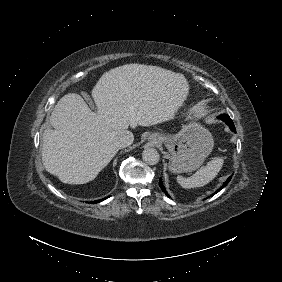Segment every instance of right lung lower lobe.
I'll return each mask as SVG.
<instances>
[{
	"instance_id": "right-lung-lower-lobe-1",
	"label": "right lung lower lobe",
	"mask_w": 282,
	"mask_h": 282,
	"mask_svg": "<svg viewBox=\"0 0 282 282\" xmlns=\"http://www.w3.org/2000/svg\"><path fill=\"white\" fill-rule=\"evenodd\" d=\"M108 197H110V196H108ZM101 201H103V199L98 200V201H94V202H90V203H99V202H101Z\"/></svg>"
}]
</instances>
